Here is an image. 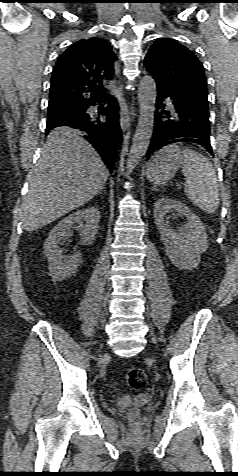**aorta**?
I'll use <instances>...</instances> for the list:
<instances>
[{
    "mask_svg": "<svg viewBox=\"0 0 238 476\" xmlns=\"http://www.w3.org/2000/svg\"><path fill=\"white\" fill-rule=\"evenodd\" d=\"M156 95L154 79L149 75L144 76L139 84L138 101L140 115L128 155L127 174L132 173L149 147L154 127Z\"/></svg>",
    "mask_w": 238,
    "mask_h": 476,
    "instance_id": "762f6f07",
    "label": "aorta"
}]
</instances>
